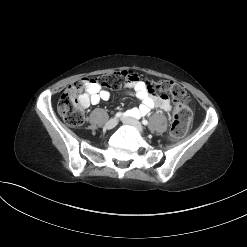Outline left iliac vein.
<instances>
[{"mask_svg":"<svg viewBox=\"0 0 247 247\" xmlns=\"http://www.w3.org/2000/svg\"><path fill=\"white\" fill-rule=\"evenodd\" d=\"M122 122L126 125L134 127L139 133H143V127L138 120L132 117H123Z\"/></svg>","mask_w":247,"mask_h":247,"instance_id":"4c4485c4","label":"left iliac vein"}]
</instances>
